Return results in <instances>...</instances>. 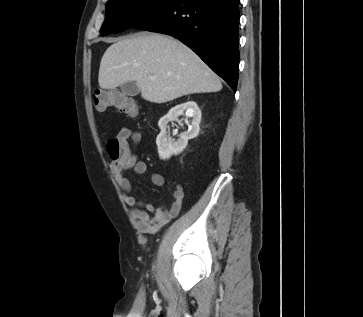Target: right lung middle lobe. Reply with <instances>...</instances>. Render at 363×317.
Returning <instances> with one entry per match:
<instances>
[{
  "instance_id": "dd1d6c3e",
  "label": "right lung middle lobe",
  "mask_w": 363,
  "mask_h": 317,
  "mask_svg": "<svg viewBox=\"0 0 363 317\" xmlns=\"http://www.w3.org/2000/svg\"><path fill=\"white\" fill-rule=\"evenodd\" d=\"M177 0H109L100 34L118 33L167 9Z\"/></svg>"
}]
</instances>
